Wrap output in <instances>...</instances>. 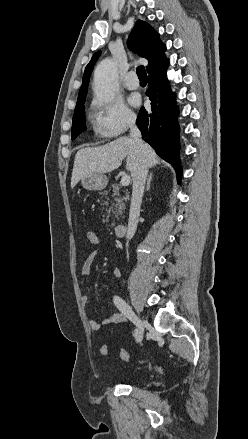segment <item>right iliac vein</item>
I'll use <instances>...</instances> for the list:
<instances>
[{
	"mask_svg": "<svg viewBox=\"0 0 248 439\" xmlns=\"http://www.w3.org/2000/svg\"><path fill=\"white\" fill-rule=\"evenodd\" d=\"M137 318H138V323L141 325L138 328V330H139V337L137 338V341L140 342L142 337H143V334H144L146 323H145V321L139 315L137 316Z\"/></svg>",
	"mask_w": 248,
	"mask_h": 439,
	"instance_id": "right-iliac-vein-1",
	"label": "right iliac vein"
}]
</instances>
